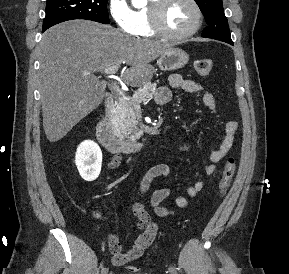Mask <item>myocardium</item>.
<instances>
[{"label": "myocardium", "mask_w": 289, "mask_h": 274, "mask_svg": "<svg viewBox=\"0 0 289 274\" xmlns=\"http://www.w3.org/2000/svg\"><path fill=\"white\" fill-rule=\"evenodd\" d=\"M172 0H154L149 7L150 25L153 31L166 39L170 40H184L195 35L203 23V11L197 0H188L196 12V22L194 26L188 31L182 33H174L169 31L164 24V13L167 5Z\"/></svg>", "instance_id": "f54148a6"}]
</instances>
